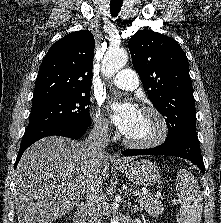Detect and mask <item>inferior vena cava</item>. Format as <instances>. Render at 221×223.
I'll use <instances>...</instances> for the list:
<instances>
[{
  "label": "inferior vena cava",
  "mask_w": 221,
  "mask_h": 223,
  "mask_svg": "<svg viewBox=\"0 0 221 223\" xmlns=\"http://www.w3.org/2000/svg\"><path fill=\"white\" fill-rule=\"evenodd\" d=\"M108 125L96 122L85 140L87 154L91 161V172L88 175L86 187V217L88 223H100L101 208L103 205V181L99 176V167L104 155V148L108 146Z\"/></svg>",
  "instance_id": "602c4592"
}]
</instances>
